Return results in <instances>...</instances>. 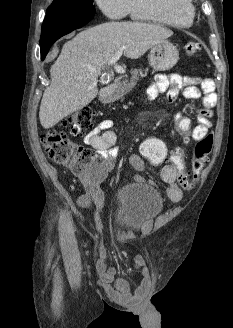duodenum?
I'll use <instances>...</instances> for the list:
<instances>
[{
	"label": "duodenum",
	"mask_w": 233,
	"mask_h": 328,
	"mask_svg": "<svg viewBox=\"0 0 233 328\" xmlns=\"http://www.w3.org/2000/svg\"><path fill=\"white\" fill-rule=\"evenodd\" d=\"M117 89L118 86L116 83L102 89L99 95L100 100L104 103L110 102L116 96Z\"/></svg>",
	"instance_id": "410a0bca"
}]
</instances>
